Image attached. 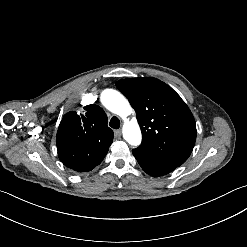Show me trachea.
Returning <instances> with one entry per match:
<instances>
[{"mask_svg":"<svg viewBox=\"0 0 247 247\" xmlns=\"http://www.w3.org/2000/svg\"><path fill=\"white\" fill-rule=\"evenodd\" d=\"M109 125L114 129H118L120 127V120L114 116L111 118Z\"/></svg>","mask_w":247,"mask_h":247,"instance_id":"trachea-1","label":"trachea"}]
</instances>
